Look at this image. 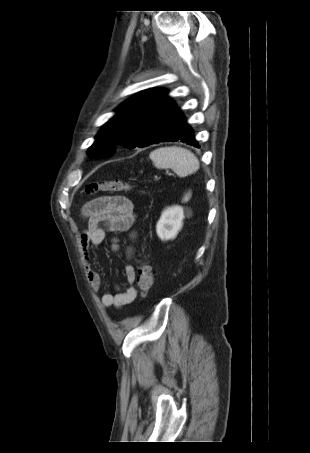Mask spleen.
<instances>
[{"mask_svg":"<svg viewBox=\"0 0 310 453\" xmlns=\"http://www.w3.org/2000/svg\"><path fill=\"white\" fill-rule=\"evenodd\" d=\"M149 158L156 168H171L180 177L193 174L199 169L197 157L190 150L178 146L158 148L150 153Z\"/></svg>","mask_w":310,"mask_h":453,"instance_id":"spleen-1","label":"spleen"}]
</instances>
